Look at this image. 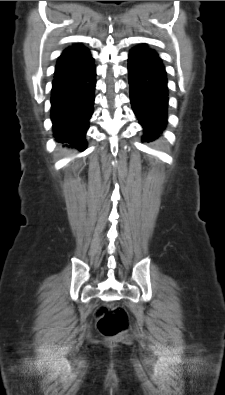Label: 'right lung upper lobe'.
I'll return each instance as SVG.
<instances>
[{"instance_id":"cb5924a9","label":"right lung upper lobe","mask_w":225,"mask_h":395,"mask_svg":"<svg viewBox=\"0 0 225 395\" xmlns=\"http://www.w3.org/2000/svg\"><path fill=\"white\" fill-rule=\"evenodd\" d=\"M90 51L82 44H73L66 48L58 58L55 72L82 67L92 61Z\"/></svg>"}]
</instances>
